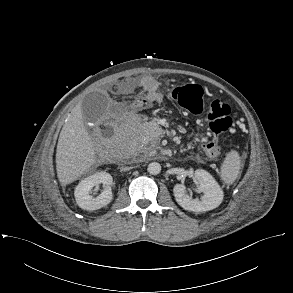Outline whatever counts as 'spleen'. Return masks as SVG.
<instances>
[{"label": "spleen", "instance_id": "1", "mask_svg": "<svg viewBox=\"0 0 293 293\" xmlns=\"http://www.w3.org/2000/svg\"><path fill=\"white\" fill-rule=\"evenodd\" d=\"M239 170V154L236 151H231L227 154L221 167V177L225 182L230 183L235 180Z\"/></svg>", "mask_w": 293, "mask_h": 293}]
</instances>
